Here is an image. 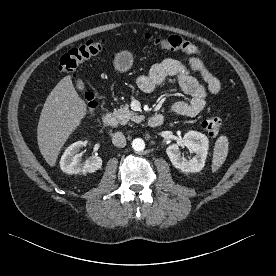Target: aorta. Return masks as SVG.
Segmentation results:
<instances>
[{"label":"aorta","instance_id":"762f6f07","mask_svg":"<svg viewBox=\"0 0 276 276\" xmlns=\"http://www.w3.org/2000/svg\"><path fill=\"white\" fill-rule=\"evenodd\" d=\"M132 148L136 151V152H141L145 149V142L143 139L141 138H136L133 140L132 142Z\"/></svg>","mask_w":276,"mask_h":276}]
</instances>
